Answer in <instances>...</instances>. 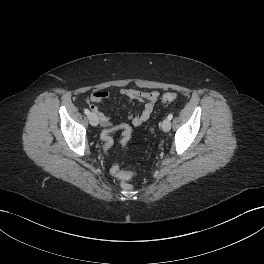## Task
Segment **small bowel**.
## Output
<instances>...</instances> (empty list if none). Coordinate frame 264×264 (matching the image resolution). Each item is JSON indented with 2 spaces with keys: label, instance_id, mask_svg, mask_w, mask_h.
<instances>
[{
  "label": "small bowel",
  "instance_id": "obj_1",
  "mask_svg": "<svg viewBox=\"0 0 264 264\" xmlns=\"http://www.w3.org/2000/svg\"><path fill=\"white\" fill-rule=\"evenodd\" d=\"M121 95L130 101L136 100L144 104V108L141 111V113L135 116L133 115L129 116V119H131L132 124L136 127L141 126L150 118L154 106L159 99V93L157 91L142 92L133 89H122ZM108 97H109L108 92L99 90V91H95L87 100L91 111L97 116L100 125L104 128L103 131L105 130H111L113 132L121 131L122 133L128 131L131 133V128L129 127V125L125 123L112 126L110 118L103 111L100 110L99 103L108 99ZM121 144L122 146H125L123 136L121 139ZM119 169L120 168L118 165H113L110 169L111 174L114 175L115 171Z\"/></svg>",
  "mask_w": 264,
  "mask_h": 264
}]
</instances>
